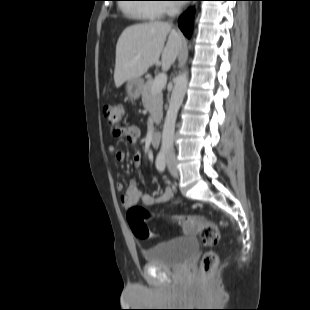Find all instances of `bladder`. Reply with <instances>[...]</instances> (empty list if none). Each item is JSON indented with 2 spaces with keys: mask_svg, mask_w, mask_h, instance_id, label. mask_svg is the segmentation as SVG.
I'll list each match as a JSON object with an SVG mask.
<instances>
[{
  "mask_svg": "<svg viewBox=\"0 0 310 310\" xmlns=\"http://www.w3.org/2000/svg\"><path fill=\"white\" fill-rule=\"evenodd\" d=\"M198 251V242L191 236H183L151 246L144 256L150 264L181 266L191 261Z\"/></svg>",
  "mask_w": 310,
  "mask_h": 310,
  "instance_id": "1",
  "label": "bladder"
}]
</instances>
